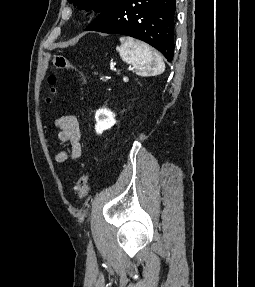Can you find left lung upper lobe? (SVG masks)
I'll return each mask as SVG.
<instances>
[{
  "mask_svg": "<svg viewBox=\"0 0 255 287\" xmlns=\"http://www.w3.org/2000/svg\"><path fill=\"white\" fill-rule=\"evenodd\" d=\"M70 3L78 5L87 4L86 9H95L96 12H102L113 0H68Z\"/></svg>",
  "mask_w": 255,
  "mask_h": 287,
  "instance_id": "1",
  "label": "left lung upper lobe"
}]
</instances>
